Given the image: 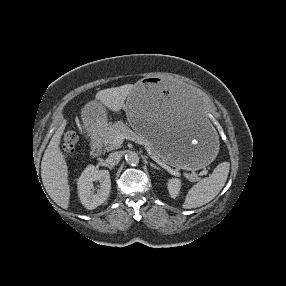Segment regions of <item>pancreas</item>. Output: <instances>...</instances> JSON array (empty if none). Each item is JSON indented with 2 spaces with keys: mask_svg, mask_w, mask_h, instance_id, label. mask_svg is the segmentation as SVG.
Returning a JSON list of instances; mask_svg holds the SVG:
<instances>
[{
  "mask_svg": "<svg viewBox=\"0 0 286 286\" xmlns=\"http://www.w3.org/2000/svg\"><path fill=\"white\" fill-rule=\"evenodd\" d=\"M118 134H126L132 137L135 141L144 145L147 150H149L154 156L158 158V155L155 153L152 144L142 134L134 132L122 121L116 122L113 125H110L99 132L101 142L106 150L111 151L120 147V145L115 142V137ZM187 178L191 182H195L198 180V176L194 173L188 174Z\"/></svg>",
  "mask_w": 286,
  "mask_h": 286,
  "instance_id": "cf45deb5",
  "label": "pancreas"
}]
</instances>
